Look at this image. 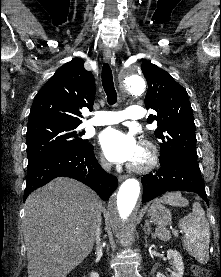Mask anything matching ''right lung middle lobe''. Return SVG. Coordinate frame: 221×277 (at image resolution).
Wrapping results in <instances>:
<instances>
[{
    "instance_id": "1",
    "label": "right lung middle lobe",
    "mask_w": 221,
    "mask_h": 277,
    "mask_svg": "<svg viewBox=\"0 0 221 277\" xmlns=\"http://www.w3.org/2000/svg\"><path fill=\"white\" fill-rule=\"evenodd\" d=\"M79 124L47 123L28 126V167L46 158L69 153L88 144L80 138L85 132H78Z\"/></svg>"
}]
</instances>
